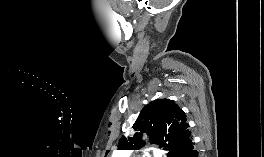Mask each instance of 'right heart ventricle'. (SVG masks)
Returning <instances> with one entry per match:
<instances>
[{"label":"right heart ventricle","instance_id":"1","mask_svg":"<svg viewBox=\"0 0 264 157\" xmlns=\"http://www.w3.org/2000/svg\"><path fill=\"white\" fill-rule=\"evenodd\" d=\"M112 157H125V156L121 153H116Z\"/></svg>","mask_w":264,"mask_h":157}]
</instances>
